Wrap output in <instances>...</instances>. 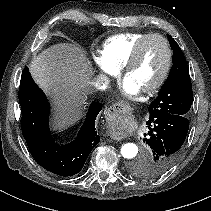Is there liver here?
<instances>
[{
    "instance_id": "1",
    "label": "liver",
    "mask_w": 211,
    "mask_h": 211,
    "mask_svg": "<svg viewBox=\"0 0 211 211\" xmlns=\"http://www.w3.org/2000/svg\"><path fill=\"white\" fill-rule=\"evenodd\" d=\"M30 73L43 90L55 97L56 127L74 123L92 85L91 68L82 49L68 43L53 45L33 58Z\"/></svg>"
}]
</instances>
